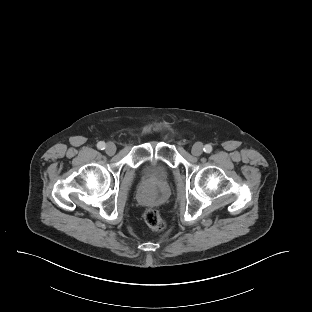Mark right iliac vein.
<instances>
[{
	"label": "right iliac vein",
	"instance_id": "63e3f726",
	"mask_svg": "<svg viewBox=\"0 0 312 312\" xmlns=\"http://www.w3.org/2000/svg\"><path fill=\"white\" fill-rule=\"evenodd\" d=\"M105 151L107 154L109 155H112L116 152V146L114 143L112 142H109L107 145H106V148H105Z\"/></svg>",
	"mask_w": 312,
	"mask_h": 312
}]
</instances>
